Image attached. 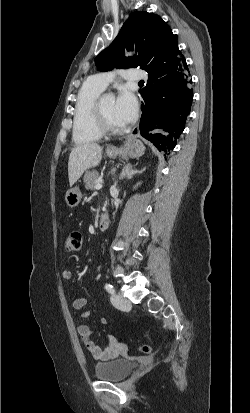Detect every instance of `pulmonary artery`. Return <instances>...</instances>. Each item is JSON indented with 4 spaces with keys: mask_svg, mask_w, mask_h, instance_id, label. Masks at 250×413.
I'll return each mask as SVG.
<instances>
[{
    "mask_svg": "<svg viewBox=\"0 0 250 413\" xmlns=\"http://www.w3.org/2000/svg\"><path fill=\"white\" fill-rule=\"evenodd\" d=\"M127 80L138 81L146 78V73L137 68L120 71ZM115 72H103L96 74L91 79L100 88L105 89L114 79Z\"/></svg>",
    "mask_w": 250,
    "mask_h": 413,
    "instance_id": "e3ab8cb5",
    "label": "pulmonary artery"
}]
</instances>
